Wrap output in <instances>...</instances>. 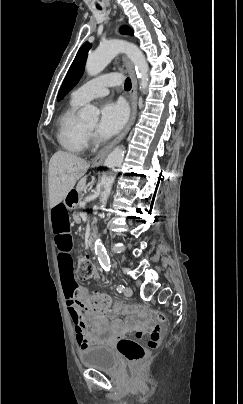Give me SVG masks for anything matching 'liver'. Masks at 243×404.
Here are the masks:
<instances>
[{
	"label": "liver",
	"mask_w": 243,
	"mask_h": 404,
	"mask_svg": "<svg viewBox=\"0 0 243 404\" xmlns=\"http://www.w3.org/2000/svg\"><path fill=\"white\" fill-rule=\"evenodd\" d=\"M89 166L88 162L81 160L74 154H70V152L59 150L52 156L48 172L50 208L60 204L80 178L81 180L78 182L76 190L77 192H83L86 184L84 174Z\"/></svg>",
	"instance_id": "6515ba94"
}]
</instances>
